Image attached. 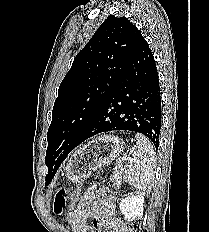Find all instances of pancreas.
<instances>
[{"label":"pancreas","mask_w":209,"mask_h":232,"mask_svg":"<svg viewBox=\"0 0 209 232\" xmlns=\"http://www.w3.org/2000/svg\"><path fill=\"white\" fill-rule=\"evenodd\" d=\"M110 180L116 187H119L121 185L122 181L124 180L123 168L121 165H116Z\"/></svg>","instance_id":"obj_1"}]
</instances>
